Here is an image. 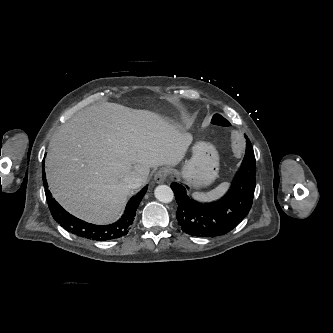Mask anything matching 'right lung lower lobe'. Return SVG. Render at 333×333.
Returning a JSON list of instances; mask_svg holds the SVG:
<instances>
[{
    "label": "right lung lower lobe",
    "instance_id": "98d812e1",
    "mask_svg": "<svg viewBox=\"0 0 333 333\" xmlns=\"http://www.w3.org/2000/svg\"><path fill=\"white\" fill-rule=\"evenodd\" d=\"M42 171L46 199L53 218L68 232L96 241L117 239L128 233L134 221L137 207L148 188V186H145L136 196H133L129 200L123 216L117 222L110 225L99 226L84 222L65 211L58 202L55 201L50 191L47 189L48 186L44 168Z\"/></svg>",
    "mask_w": 333,
    "mask_h": 333
}]
</instances>
